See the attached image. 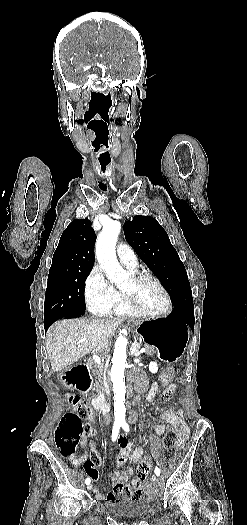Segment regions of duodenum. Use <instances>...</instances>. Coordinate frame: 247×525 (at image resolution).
<instances>
[{
	"label": "duodenum",
	"instance_id": "1",
	"mask_svg": "<svg viewBox=\"0 0 247 525\" xmlns=\"http://www.w3.org/2000/svg\"><path fill=\"white\" fill-rule=\"evenodd\" d=\"M64 381L72 388L86 392L91 384L89 375V364L86 361H78L74 367L65 372ZM93 408L101 414L110 411V400L106 395L92 400Z\"/></svg>",
	"mask_w": 247,
	"mask_h": 525
}]
</instances>
